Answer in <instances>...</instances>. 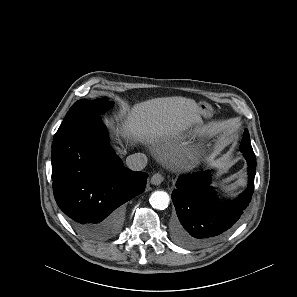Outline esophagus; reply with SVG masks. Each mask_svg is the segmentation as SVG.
<instances>
[{
	"label": "esophagus",
	"instance_id": "34e87169",
	"mask_svg": "<svg viewBox=\"0 0 297 297\" xmlns=\"http://www.w3.org/2000/svg\"><path fill=\"white\" fill-rule=\"evenodd\" d=\"M164 180V177L161 173H155L152 177H151V184L153 185H160L162 183V181Z\"/></svg>",
	"mask_w": 297,
	"mask_h": 297
}]
</instances>
